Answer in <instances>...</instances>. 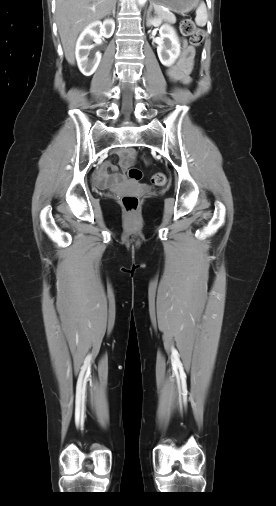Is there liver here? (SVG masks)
<instances>
[{
    "label": "liver",
    "instance_id": "6515ba94",
    "mask_svg": "<svg viewBox=\"0 0 276 506\" xmlns=\"http://www.w3.org/2000/svg\"><path fill=\"white\" fill-rule=\"evenodd\" d=\"M116 0H57L56 21L65 58L75 64V43L79 33L90 23L110 14Z\"/></svg>",
    "mask_w": 276,
    "mask_h": 506
}]
</instances>
